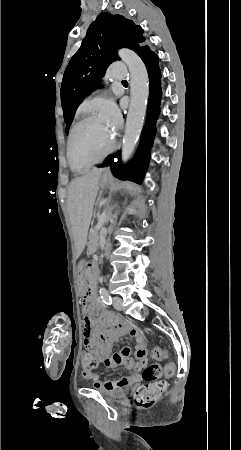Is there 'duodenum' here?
I'll return each instance as SVG.
<instances>
[{"mask_svg":"<svg viewBox=\"0 0 241 450\" xmlns=\"http://www.w3.org/2000/svg\"><path fill=\"white\" fill-rule=\"evenodd\" d=\"M97 266L95 262L88 263V290L93 293L96 290L97 285Z\"/></svg>","mask_w":241,"mask_h":450,"instance_id":"duodenum-1","label":"duodenum"}]
</instances>
